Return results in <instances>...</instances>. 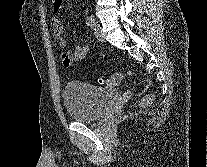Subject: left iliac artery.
<instances>
[{
	"label": "left iliac artery",
	"mask_w": 207,
	"mask_h": 167,
	"mask_svg": "<svg viewBox=\"0 0 207 167\" xmlns=\"http://www.w3.org/2000/svg\"><path fill=\"white\" fill-rule=\"evenodd\" d=\"M89 25H90L91 29H95V26H96V20H95V18H94L93 16H91V17L89 18Z\"/></svg>",
	"instance_id": "1"
}]
</instances>
